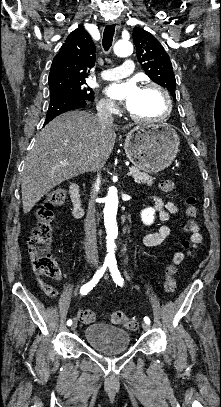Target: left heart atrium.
Returning <instances> with one entry per match:
<instances>
[{
  "label": "left heart atrium",
  "instance_id": "left-heart-atrium-1",
  "mask_svg": "<svg viewBox=\"0 0 221 407\" xmlns=\"http://www.w3.org/2000/svg\"><path fill=\"white\" fill-rule=\"evenodd\" d=\"M141 89L134 79L112 84L107 94L114 100L124 101L128 107H131L139 95Z\"/></svg>",
  "mask_w": 221,
  "mask_h": 407
}]
</instances>
